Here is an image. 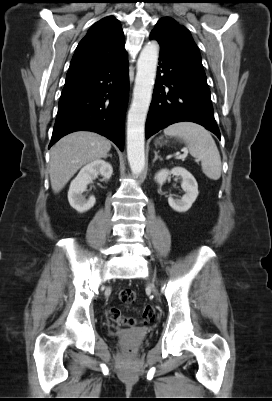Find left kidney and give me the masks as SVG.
Instances as JSON below:
<instances>
[{
	"instance_id": "left-kidney-1",
	"label": "left kidney",
	"mask_w": 272,
	"mask_h": 401,
	"mask_svg": "<svg viewBox=\"0 0 272 401\" xmlns=\"http://www.w3.org/2000/svg\"><path fill=\"white\" fill-rule=\"evenodd\" d=\"M171 174L181 177V187L184 190L185 194L181 199H173L172 197H169L168 203L170 207L175 211L186 212L191 208L192 204L195 202L199 194L198 184L193 175L182 167H175L171 171L167 169L160 170L155 175V181L159 184H163L166 182L168 176Z\"/></svg>"
}]
</instances>
